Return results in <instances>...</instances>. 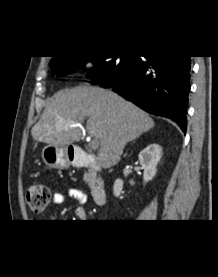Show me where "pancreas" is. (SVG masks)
<instances>
[{
  "label": "pancreas",
  "instance_id": "pancreas-1",
  "mask_svg": "<svg viewBox=\"0 0 218 277\" xmlns=\"http://www.w3.org/2000/svg\"><path fill=\"white\" fill-rule=\"evenodd\" d=\"M84 181H85V182H88V181H89V172H86V173L84 174Z\"/></svg>",
  "mask_w": 218,
  "mask_h": 277
}]
</instances>
